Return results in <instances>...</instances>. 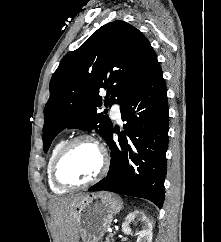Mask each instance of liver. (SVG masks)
Masks as SVG:
<instances>
[{
    "mask_svg": "<svg viewBox=\"0 0 221 242\" xmlns=\"http://www.w3.org/2000/svg\"><path fill=\"white\" fill-rule=\"evenodd\" d=\"M86 195H72L55 198L51 201V214L54 220L56 242H78V223L74 215L76 205Z\"/></svg>",
    "mask_w": 221,
    "mask_h": 242,
    "instance_id": "liver-1",
    "label": "liver"
}]
</instances>
